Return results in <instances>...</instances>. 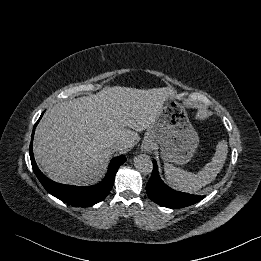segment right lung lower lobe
Here are the masks:
<instances>
[{
	"label": "right lung lower lobe",
	"instance_id": "right-lung-lower-lobe-1",
	"mask_svg": "<svg viewBox=\"0 0 261 261\" xmlns=\"http://www.w3.org/2000/svg\"><path fill=\"white\" fill-rule=\"evenodd\" d=\"M42 116L43 113L41 114L39 120L41 119ZM39 120L37 121V123L33 128L29 153H30L33 170L37 178L41 182V184L44 186V188L53 196L74 206L89 207L102 201L109 194L113 186L115 174L118 168L126 161V157L124 155H121L111 160L105 178L97 185L90 186V187H78V186L56 183L48 179L39 170L34 160L32 143H33L35 127L38 124Z\"/></svg>",
	"mask_w": 261,
	"mask_h": 261
}]
</instances>
